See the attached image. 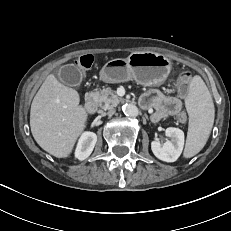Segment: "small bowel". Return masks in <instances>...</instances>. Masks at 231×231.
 <instances>
[{"label":"small bowel","instance_id":"obj_1","mask_svg":"<svg viewBox=\"0 0 231 231\" xmlns=\"http://www.w3.org/2000/svg\"><path fill=\"white\" fill-rule=\"evenodd\" d=\"M143 108H154L152 120L157 122L170 116H179L182 112L183 104L180 99L168 96L158 90L146 92L140 100Z\"/></svg>","mask_w":231,"mask_h":231}]
</instances>
